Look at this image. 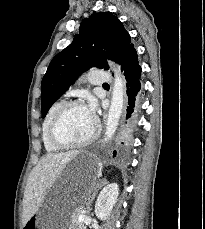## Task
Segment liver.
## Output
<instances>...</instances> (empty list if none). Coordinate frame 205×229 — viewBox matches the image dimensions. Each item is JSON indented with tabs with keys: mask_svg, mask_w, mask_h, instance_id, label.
<instances>
[{
	"mask_svg": "<svg viewBox=\"0 0 205 229\" xmlns=\"http://www.w3.org/2000/svg\"><path fill=\"white\" fill-rule=\"evenodd\" d=\"M80 151L47 154L32 170L23 199V224L34 215L45 200L47 191L54 185L66 165Z\"/></svg>",
	"mask_w": 205,
	"mask_h": 229,
	"instance_id": "liver-1",
	"label": "liver"
}]
</instances>
